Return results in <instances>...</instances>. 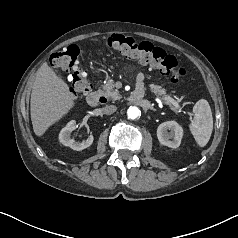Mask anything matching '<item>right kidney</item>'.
Instances as JSON below:
<instances>
[{
    "label": "right kidney",
    "instance_id": "right-kidney-1",
    "mask_svg": "<svg viewBox=\"0 0 238 238\" xmlns=\"http://www.w3.org/2000/svg\"><path fill=\"white\" fill-rule=\"evenodd\" d=\"M77 128L76 122L74 120L70 121L59 133V141L65 145L70 147L73 150H83L89 147L93 143V135L90 134L86 140L82 142H76L71 138V133Z\"/></svg>",
    "mask_w": 238,
    "mask_h": 238
}]
</instances>
